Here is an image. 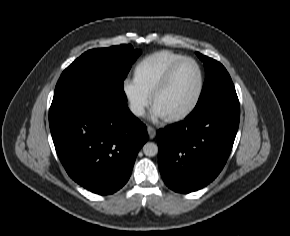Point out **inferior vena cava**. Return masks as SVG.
<instances>
[{"instance_id":"602c4592","label":"inferior vena cava","mask_w":290,"mask_h":236,"mask_svg":"<svg viewBox=\"0 0 290 236\" xmlns=\"http://www.w3.org/2000/svg\"><path fill=\"white\" fill-rule=\"evenodd\" d=\"M132 111L137 116H141V115L144 114V109L141 108V107H138V106L137 107L136 106L132 107Z\"/></svg>"}]
</instances>
